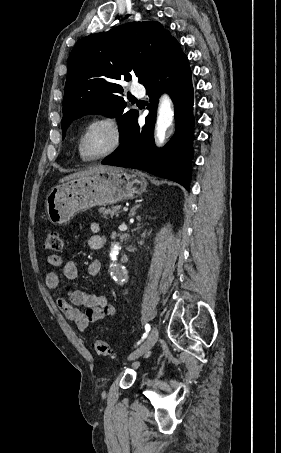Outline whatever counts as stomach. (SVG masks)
Here are the masks:
<instances>
[{"instance_id": "obj_1", "label": "stomach", "mask_w": 281, "mask_h": 453, "mask_svg": "<svg viewBox=\"0 0 281 453\" xmlns=\"http://www.w3.org/2000/svg\"><path fill=\"white\" fill-rule=\"evenodd\" d=\"M146 186L141 172L129 168H114L84 178H72L56 184L48 192L45 200L47 216L50 222L61 227V224H68L77 212L136 198L145 192Z\"/></svg>"}]
</instances>
